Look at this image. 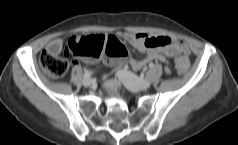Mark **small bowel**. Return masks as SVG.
<instances>
[{
  "label": "small bowel",
  "mask_w": 238,
  "mask_h": 145,
  "mask_svg": "<svg viewBox=\"0 0 238 145\" xmlns=\"http://www.w3.org/2000/svg\"><path fill=\"white\" fill-rule=\"evenodd\" d=\"M119 35L138 51L145 54L143 59L129 57L127 63L136 71L142 69L151 61L164 62L167 57H172L175 54H182L184 56L188 54L186 44L179 38H170L166 35L150 36L144 33L132 34L127 32H120ZM53 46H56L55 50L52 49ZM61 48L62 41L58 38L51 40L47 45V50L52 51L56 55L60 53ZM84 61L87 63H95L98 62L99 59L94 62H89L85 59ZM74 64H77V62H74Z\"/></svg>",
  "instance_id": "obj_1"
}]
</instances>
